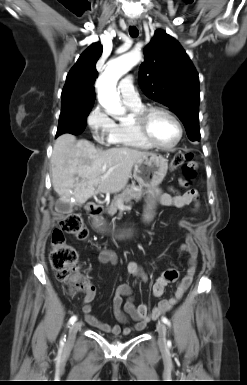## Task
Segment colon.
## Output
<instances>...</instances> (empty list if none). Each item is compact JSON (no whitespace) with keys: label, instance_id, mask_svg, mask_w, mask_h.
<instances>
[{"label":"colon","instance_id":"obj_1","mask_svg":"<svg viewBox=\"0 0 247 385\" xmlns=\"http://www.w3.org/2000/svg\"><path fill=\"white\" fill-rule=\"evenodd\" d=\"M173 165L181 167L184 180L182 186H188L196 176L198 165L193 161L191 153H178L174 156ZM65 235H73L80 240L88 236V231L79 214L66 215L58 220L50 238V264L58 281L68 285L72 294L87 293L91 288L90 280L78 273L79 261L76 250L65 241Z\"/></svg>","mask_w":247,"mask_h":385}]
</instances>
